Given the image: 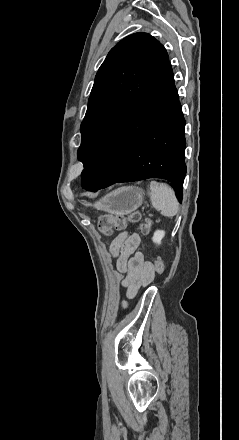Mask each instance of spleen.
Here are the masks:
<instances>
[{"label":"spleen","mask_w":239,"mask_h":440,"mask_svg":"<svg viewBox=\"0 0 239 440\" xmlns=\"http://www.w3.org/2000/svg\"><path fill=\"white\" fill-rule=\"evenodd\" d=\"M151 202L153 208L161 210L162 216H176L179 210L178 200L175 192L168 184H159V182H151Z\"/></svg>","instance_id":"3e777b00"}]
</instances>
